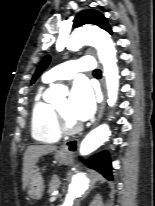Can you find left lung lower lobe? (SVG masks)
Instances as JSON below:
<instances>
[{
  "label": "left lung lower lobe",
  "mask_w": 155,
  "mask_h": 206,
  "mask_svg": "<svg viewBox=\"0 0 155 206\" xmlns=\"http://www.w3.org/2000/svg\"><path fill=\"white\" fill-rule=\"evenodd\" d=\"M87 164L102 173L107 179L111 180V160L107 152H101L89 158Z\"/></svg>",
  "instance_id": "obj_1"
}]
</instances>
